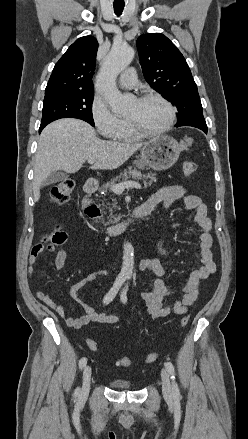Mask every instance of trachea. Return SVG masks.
<instances>
[{
    "mask_svg": "<svg viewBox=\"0 0 248 439\" xmlns=\"http://www.w3.org/2000/svg\"><path fill=\"white\" fill-rule=\"evenodd\" d=\"M114 7V12L117 16L121 15L124 9V4L122 5H113Z\"/></svg>",
    "mask_w": 248,
    "mask_h": 439,
    "instance_id": "obj_1",
    "label": "trachea"
}]
</instances>
